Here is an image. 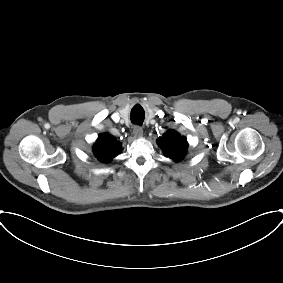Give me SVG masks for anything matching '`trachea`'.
I'll use <instances>...</instances> for the list:
<instances>
[{
	"label": "trachea",
	"mask_w": 283,
	"mask_h": 283,
	"mask_svg": "<svg viewBox=\"0 0 283 283\" xmlns=\"http://www.w3.org/2000/svg\"><path fill=\"white\" fill-rule=\"evenodd\" d=\"M145 113L141 106H135L131 111V122L133 124L142 125Z\"/></svg>",
	"instance_id": "obj_1"
}]
</instances>
